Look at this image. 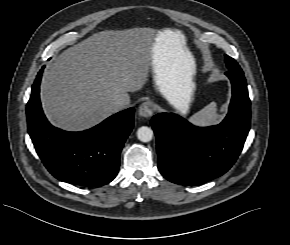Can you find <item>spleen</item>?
I'll list each match as a JSON object with an SVG mask.
<instances>
[{"mask_svg": "<svg viewBox=\"0 0 290 245\" xmlns=\"http://www.w3.org/2000/svg\"><path fill=\"white\" fill-rule=\"evenodd\" d=\"M191 122L198 126H208L218 124L221 120L220 114L217 112V105L211 102L202 110L195 113L191 118Z\"/></svg>", "mask_w": 290, "mask_h": 245, "instance_id": "obj_1", "label": "spleen"}]
</instances>
